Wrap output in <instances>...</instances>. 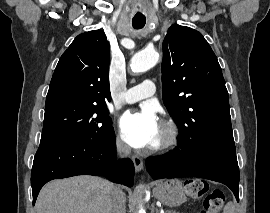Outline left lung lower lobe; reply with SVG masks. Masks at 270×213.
<instances>
[{"instance_id":"obj_1","label":"left lung lower lobe","mask_w":270,"mask_h":213,"mask_svg":"<svg viewBox=\"0 0 270 213\" xmlns=\"http://www.w3.org/2000/svg\"><path fill=\"white\" fill-rule=\"evenodd\" d=\"M146 166L154 179L198 177L221 182L239 201L240 177L234 140L179 139L176 150L147 158Z\"/></svg>"}]
</instances>
